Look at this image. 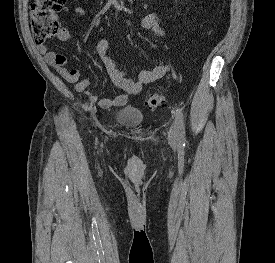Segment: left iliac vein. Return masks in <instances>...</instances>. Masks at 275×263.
Segmentation results:
<instances>
[{"label": "left iliac vein", "instance_id": "1", "mask_svg": "<svg viewBox=\"0 0 275 263\" xmlns=\"http://www.w3.org/2000/svg\"><path fill=\"white\" fill-rule=\"evenodd\" d=\"M178 139V128L177 123L175 121L174 125L170 128L168 132V140L171 144H175Z\"/></svg>", "mask_w": 275, "mask_h": 263}]
</instances>
